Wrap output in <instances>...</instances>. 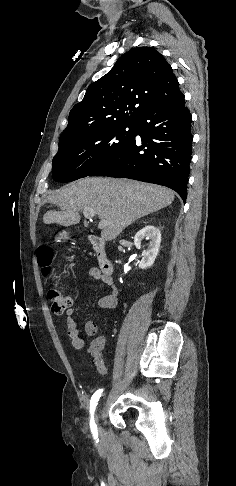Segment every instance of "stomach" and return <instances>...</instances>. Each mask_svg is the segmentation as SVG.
Returning a JSON list of instances; mask_svg holds the SVG:
<instances>
[{
    "mask_svg": "<svg viewBox=\"0 0 236 486\" xmlns=\"http://www.w3.org/2000/svg\"><path fill=\"white\" fill-rule=\"evenodd\" d=\"M68 238V233L63 231L62 233L59 234V236L57 237V239H60V240H65Z\"/></svg>",
    "mask_w": 236,
    "mask_h": 486,
    "instance_id": "0dacf381",
    "label": "stomach"
}]
</instances>
